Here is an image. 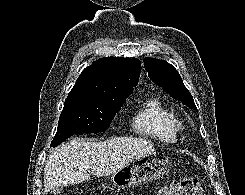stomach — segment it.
Instances as JSON below:
<instances>
[{
  "label": "stomach",
  "mask_w": 245,
  "mask_h": 195,
  "mask_svg": "<svg viewBox=\"0 0 245 195\" xmlns=\"http://www.w3.org/2000/svg\"><path fill=\"white\" fill-rule=\"evenodd\" d=\"M171 162L167 157L157 153L135 159L111 176V182L121 189L137 184L158 180L167 175Z\"/></svg>",
  "instance_id": "stomach-1"
}]
</instances>
